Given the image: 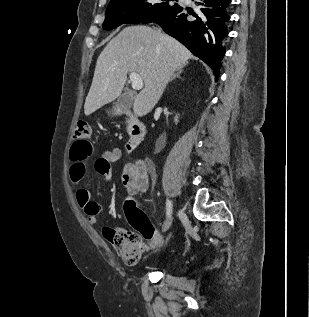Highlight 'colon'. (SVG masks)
<instances>
[{
  "label": "colon",
  "mask_w": 309,
  "mask_h": 317,
  "mask_svg": "<svg viewBox=\"0 0 309 317\" xmlns=\"http://www.w3.org/2000/svg\"><path fill=\"white\" fill-rule=\"evenodd\" d=\"M91 127L86 122H79L75 127L74 142L71 154L76 155V150L83 147L85 151L92 152L89 142ZM125 212L132 229L107 228L105 236L112 244L119 257L129 265L136 264L146 246V242L158 244L160 238L156 228L147 215L142 212L134 201L128 200L125 204Z\"/></svg>",
  "instance_id": "5ec220e1"
}]
</instances>
